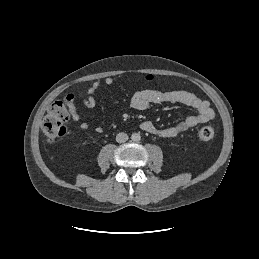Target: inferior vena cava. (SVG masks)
<instances>
[{"label": "inferior vena cava", "mask_w": 259, "mask_h": 259, "mask_svg": "<svg viewBox=\"0 0 259 259\" xmlns=\"http://www.w3.org/2000/svg\"><path fill=\"white\" fill-rule=\"evenodd\" d=\"M128 140V135L126 133H118L117 136H116V141L118 143H124Z\"/></svg>", "instance_id": "1"}]
</instances>
